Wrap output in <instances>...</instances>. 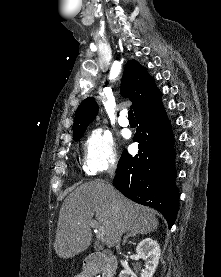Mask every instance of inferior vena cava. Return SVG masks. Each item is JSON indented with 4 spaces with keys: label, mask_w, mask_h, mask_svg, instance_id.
I'll return each instance as SVG.
<instances>
[{
    "label": "inferior vena cava",
    "mask_w": 221,
    "mask_h": 277,
    "mask_svg": "<svg viewBox=\"0 0 221 277\" xmlns=\"http://www.w3.org/2000/svg\"><path fill=\"white\" fill-rule=\"evenodd\" d=\"M115 171H116V165H110L108 168V174L110 176V178H113L115 175ZM117 243H119L120 241V236H121V231H120V227L119 224L117 222Z\"/></svg>",
    "instance_id": "602c4592"
}]
</instances>
